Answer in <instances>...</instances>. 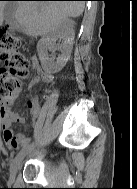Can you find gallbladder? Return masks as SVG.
Masks as SVG:
<instances>
[{"label": "gallbladder", "instance_id": "bac80fb5", "mask_svg": "<svg viewBox=\"0 0 137 189\" xmlns=\"http://www.w3.org/2000/svg\"><path fill=\"white\" fill-rule=\"evenodd\" d=\"M17 8L16 2H7L4 7V18L9 25V31L13 33L18 28V23L15 20L14 14Z\"/></svg>", "mask_w": 137, "mask_h": 189}]
</instances>
